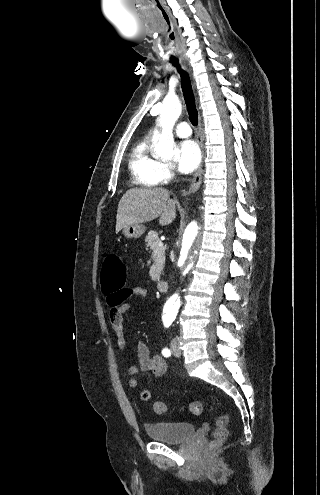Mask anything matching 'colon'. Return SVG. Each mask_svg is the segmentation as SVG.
Here are the masks:
<instances>
[{
	"label": "colon",
	"instance_id": "obj_1",
	"mask_svg": "<svg viewBox=\"0 0 320 495\" xmlns=\"http://www.w3.org/2000/svg\"><path fill=\"white\" fill-rule=\"evenodd\" d=\"M126 267L123 264L119 256L112 254L106 257L101 268V288L104 293H110L114 291H121L126 281ZM125 294L121 293L117 298L118 302L125 299ZM142 400H148L150 398V392L148 390L141 391ZM154 411L157 414H165L167 411L166 404L162 401H157L153 405ZM203 404L200 401L191 402L188 405V411L194 416H198L202 413ZM229 417L226 414H219L215 422V430L213 434V440L211 442V449L221 445L227 438Z\"/></svg>",
	"mask_w": 320,
	"mask_h": 495
}]
</instances>
